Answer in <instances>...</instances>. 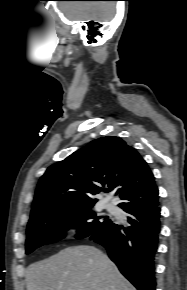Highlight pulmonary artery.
Instances as JSON below:
<instances>
[{"mask_svg":"<svg viewBox=\"0 0 187 290\" xmlns=\"http://www.w3.org/2000/svg\"><path fill=\"white\" fill-rule=\"evenodd\" d=\"M105 207H106V209H107L108 211H110V212H115V211H116V208H115L114 205L111 204V203H107V204L105 205Z\"/></svg>","mask_w":187,"mask_h":290,"instance_id":"obj_1","label":"pulmonary artery"}]
</instances>
